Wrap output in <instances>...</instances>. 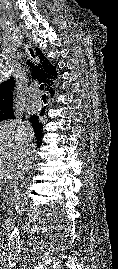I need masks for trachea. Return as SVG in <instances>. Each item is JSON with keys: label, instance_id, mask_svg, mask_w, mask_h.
Returning a JSON list of instances; mask_svg holds the SVG:
<instances>
[{"label": "trachea", "instance_id": "obj_1", "mask_svg": "<svg viewBox=\"0 0 118 269\" xmlns=\"http://www.w3.org/2000/svg\"><path fill=\"white\" fill-rule=\"evenodd\" d=\"M29 51H30L31 56L34 57V54H33L32 50L29 49ZM40 90L41 91L44 90V85L43 84L40 85Z\"/></svg>", "mask_w": 118, "mask_h": 269}]
</instances>
